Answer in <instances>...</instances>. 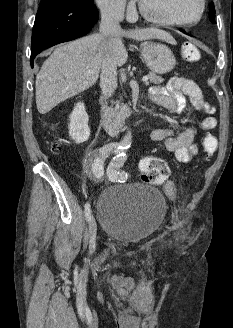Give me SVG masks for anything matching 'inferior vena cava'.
<instances>
[{"mask_svg": "<svg viewBox=\"0 0 233 328\" xmlns=\"http://www.w3.org/2000/svg\"><path fill=\"white\" fill-rule=\"evenodd\" d=\"M124 16V6L121 3H112L102 8L100 33L109 35L121 31L120 20ZM100 87L105 96H111L117 87V64L109 51H106L100 74Z\"/></svg>", "mask_w": 233, "mask_h": 328, "instance_id": "inferior-vena-cava-1", "label": "inferior vena cava"}]
</instances>
